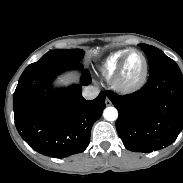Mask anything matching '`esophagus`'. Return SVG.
<instances>
[{
  "instance_id": "1",
  "label": "esophagus",
  "mask_w": 183,
  "mask_h": 183,
  "mask_svg": "<svg viewBox=\"0 0 183 183\" xmlns=\"http://www.w3.org/2000/svg\"><path fill=\"white\" fill-rule=\"evenodd\" d=\"M105 104H106V106H110L111 105V101H110V99L108 97L105 100Z\"/></svg>"
}]
</instances>
